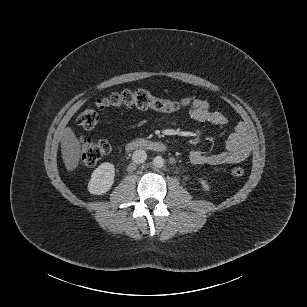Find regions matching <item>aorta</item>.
Masks as SVG:
<instances>
[{
	"label": "aorta",
	"mask_w": 307,
	"mask_h": 307,
	"mask_svg": "<svg viewBox=\"0 0 307 307\" xmlns=\"http://www.w3.org/2000/svg\"><path fill=\"white\" fill-rule=\"evenodd\" d=\"M165 165L164 158L157 156L153 159V166L155 168H162Z\"/></svg>",
	"instance_id": "1"
}]
</instances>
